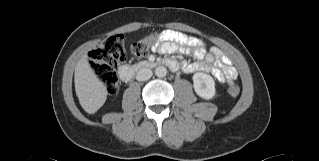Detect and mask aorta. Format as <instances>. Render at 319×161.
Here are the masks:
<instances>
[{"mask_svg":"<svg viewBox=\"0 0 319 161\" xmlns=\"http://www.w3.org/2000/svg\"><path fill=\"white\" fill-rule=\"evenodd\" d=\"M167 74V69L164 66L156 67L155 69V75L159 78L165 77Z\"/></svg>","mask_w":319,"mask_h":161,"instance_id":"obj_1","label":"aorta"}]
</instances>
